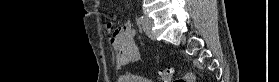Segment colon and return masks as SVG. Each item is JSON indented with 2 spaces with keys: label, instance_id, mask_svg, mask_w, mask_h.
Segmentation results:
<instances>
[{
  "label": "colon",
  "instance_id": "1",
  "mask_svg": "<svg viewBox=\"0 0 279 82\" xmlns=\"http://www.w3.org/2000/svg\"><path fill=\"white\" fill-rule=\"evenodd\" d=\"M174 74V69L168 67L163 70L161 74V82H169ZM194 76L191 72L187 71L182 76H180L177 82H193Z\"/></svg>",
  "mask_w": 279,
  "mask_h": 82
}]
</instances>
